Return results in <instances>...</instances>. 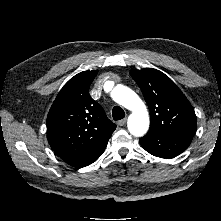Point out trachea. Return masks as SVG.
Instances as JSON below:
<instances>
[{
    "mask_svg": "<svg viewBox=\"0 0 221 221\" xmlns=\"http://www.w3.org/2000/svg\"><path fill=\"white\" fill-rule=\"evenodd\" d=\"M112 116L115 121H118L125 117V112L121 107L115 106L112 110Z\"/></svg>",
    "mask_w": 221,
    "mask_h": 221,
    "instance_id": "obj_1",
    "label": "trachea"
}]
</instances>
